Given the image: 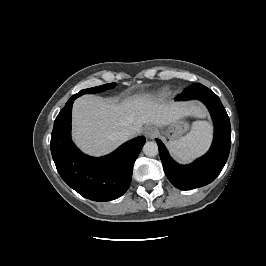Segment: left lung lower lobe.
Instances as JSON below:
<instances>
[{
	"label": "left lung lower lobe",
	"mask_w": 266,
	"mask_h": 266,
	"mask_svg": "<svg viewBox=\"0 0 266 266\" xmlns=\"http://www.w3.org/2000/svg\"><path fill=\"white\" fill-rule=\"evenodd\" d=\"M201 100L209 109L214 122V139L210 150L189 165H180L172 160L166 147L156 140L164 172L178 189L191 190L211 183L223 169L231 146L230 120L219 97L202 84H193L176 100Z\"/></svg>",
	"instance_id": "1"
}]
</instances>
